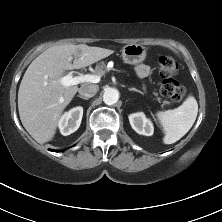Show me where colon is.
Masks as SVG:
<instances>
[{"instance_id":"colon-1","label":"colon","mask_w":222,"mask_h":222,"mask_svg":"<svg viewBox=\"0 0 222 222\" xmlns=\"http://www.w3.org/2000/svg\"><path fill=\"white\" fill-rule=\"evenodd\" d=\"M158 68L163 76L161 94L174 102L182 101L185 97V88L173 78L179 71L178 62L171 56L161 55L158 58Z\"/></svg>"}]
</instances>
